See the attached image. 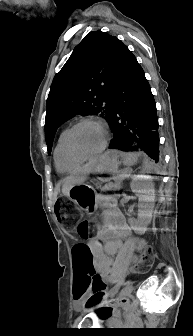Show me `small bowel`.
<instances>
[{"label": "small bowel", "mask_w": 193, "mask_h": 336, "mask_svg": "<svg viewBox=\"0 0 193 336\" xmlns=\"http://www.w3.org/2000/svg\"><path fill=\"white\" fill-rule=\"evenodd\" d=\"M128 235L129 227L122 215L117 211H110L107 223L87 243L94 270L108 283H114L120 275L124 259L119 258L113 262L112 256L122 248L123 241ZM85 294L91 296L94 294L91 284L86 286Z\"/></svg>", "instance_id": "1"}]
</instances>
